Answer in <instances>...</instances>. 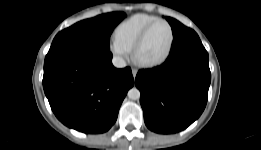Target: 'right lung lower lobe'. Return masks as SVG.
<instances>
[{
  "label": "right lung lower lobe",
  "instance_id": "obj_1",
  "mask_svg": "<svg viewBox=\"0 0 261 150\" xmlns=\"http://www.w3.org/2000/svg\"><path fill=\"white\" fill-rule=\"evenodd\" d=\"M110 50L65 46L49 50L43 87L56 117L83 133H103L115 123L127 91L131 69H116Z\"/></svg>",
  "mask_w": 261,
  "mask_h": 150
}]
</instances>
